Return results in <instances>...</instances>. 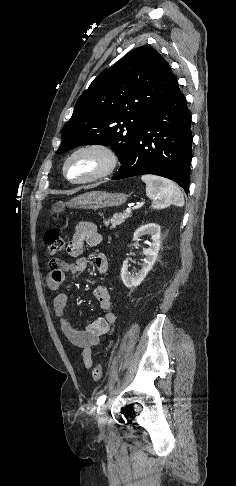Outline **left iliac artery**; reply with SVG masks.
I'll return each instance as SVG.
<instances>
[{"label": "left iliac artery", "mask_w": 236, "mask_h": 486, "mask_svg": "<svg viewBox=\"0 0 236 486\" xmlns=\"http://www.w3.org/2000/svg\"><path fill=\"white\" fill-rule=\"evenodd\" d=\"M105 400H106V395H102V396H100V397L98 398V400H97V405H98V406H102V405L104 404Z\"/></svg>", "instance_id": "1"}]
</instances>
